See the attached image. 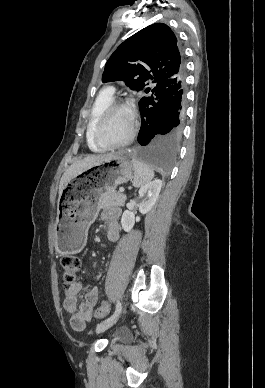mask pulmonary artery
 Returning a JSON list of instances; mask_svg holds the SVG:
<instances>
[{"instance_id": "pulmonary-artery-1", "label": "pulmonary artery", "mask_w": 265, "mask_h": 388, "mask_svg": "<svg viewBox=\"0 0 265 388\" xmlns=\"http://www.w3.org/2000/svg\"><path fill=\"white\" fill-rule=\"evenodd\" d=\"M102 88L104 89V90H115L116 88H117V85L115 84V83H104L103 85H102Z\"/></svg>"}]
</instances>
